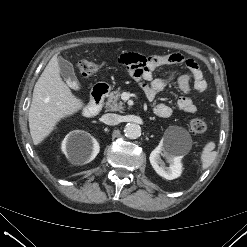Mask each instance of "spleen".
<instances>
[{"label":"spleen","mask_w":247,"mask_h":247,"mask_svg":"<svg viewBox=\"0 0 247 247\" xmlns=\"http://www.w3.org/2000/svg\"><path fill=\"white\" fill-rule=\"evenodd\" d=\"M215 148L214 142H208L205 147L203 148L201 154V161H202V170L207 169L215 160L216 152L213 151Z\"/></svg>","instance_id":"obj_1"}]
</instances>
